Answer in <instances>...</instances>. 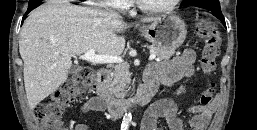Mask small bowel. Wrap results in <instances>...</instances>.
Masks as SVG:
<instances>
[{
	"label": "small bowel",
	"mask_w": 257,
	"mask_h": 130,
	"mask_svg": "<svg viewBox=\"0 0 257 130\" xmlns=\"http://www.w3.org/2000/svg\"><path fill=\"white\" fill-rule=\"evenodd\" d=\"M195 54L192 50H186L180 56L171 60L163 61L150 67L145 75L146 80H155L163 87L169 88L183 78L191 77L194 73L193 63ZM183 87L177 90L181 93ZM214 106H195L189 110L192 118L188 121L191 130H204L213 113ZM102 111L103 107L98 98H91L86 101L81 109V114L90 111ZM165 121L164 125L159 124V120ZM75 130H88L84 124H78ZM141 130H185V124L180 116L177 105L171 99H164L153 104L145 113L141 125Z\"/></svg>",
	"instance_id": "c3829d8e"
}]
</instances>
